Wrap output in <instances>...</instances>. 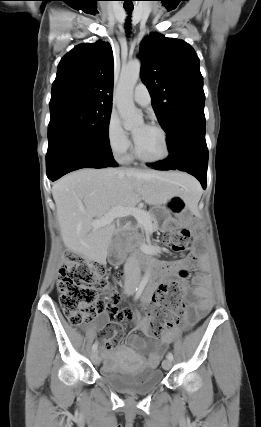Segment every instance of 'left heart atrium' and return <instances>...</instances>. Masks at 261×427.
I'll use <instances>...</instances> for the list:
<instances>
[{"mask_svg":"<svg viewBox=\"0 0 261 427\" xmlns=\"http://www.w3.org/2000/svg\"><path fill=\"white\" fill-rule=\"evenodd\" d=\"M144 127H147V126H144ZM137 135H134V140L136 141L137 140Z\"/></svg>","mask_w":261,"mask_h":427,"instance_id":"1","label":"left heart atrium"}]
</instances>
